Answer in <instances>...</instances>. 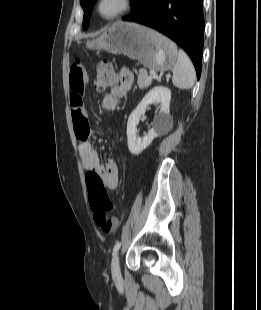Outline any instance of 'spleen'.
<instances>
[{
	"mask_svg": "<svg viewBox=\"0 0 261 310\" xmlns=\"http://www.w3.org/2000/svg\"><path fill=\"white\" fill-rule=\"evenodd\" d=\"M196 73L187 54L179 50L178 59L173 67L172 83L179 89H191L194 86Z\"/></svg>",
	"mask_w": 261,
	"mask_h": 310,
	"instance_id": "3e777b00",
	"label": "spleen"
}]
</instances>
